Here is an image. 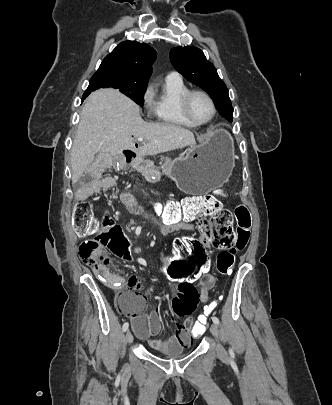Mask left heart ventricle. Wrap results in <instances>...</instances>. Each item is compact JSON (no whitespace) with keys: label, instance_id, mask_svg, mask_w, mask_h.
Segmentation results:
<instances>
[{"label":"left heart ventricle","instance_id":"left-heart-ventricle-1","mask_svg":"<svg viewBox=\"0 0 332 405\" xmlns=\"http://www.w3.org/2000/svg\"><path fill=\"white\" fill-rule=\"evenodd\" d=\"M190 113L197 121H205L212 114V106L207 98L202 95H194L189 103Z\"/></svg>","mask_w":332,"mask_h":405}]
</instances>
